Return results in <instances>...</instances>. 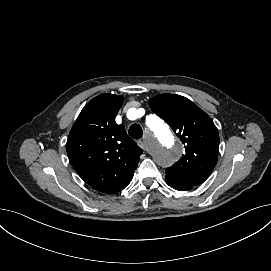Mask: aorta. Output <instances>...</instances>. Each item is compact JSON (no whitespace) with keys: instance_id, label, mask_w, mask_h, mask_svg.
I'll list each match as a JSON object with an SVG mask.
<instances>
[{"instance_id":"1","label":"aorta","mask_w":271,"mask_h":271,"mask_svg":"<svg viewBox=\"0 0 271 271\" xmlns=\"http://www.w3.org/2000/svg\"><path fill=\"white\" fill-rule=\"evenodd\" d=\"M149 128L148 142L155 162L168 167L180 157L181 146L176 143L168 126L158 117L150 116L147 118Z\"/></svg>"}]
</instances>
